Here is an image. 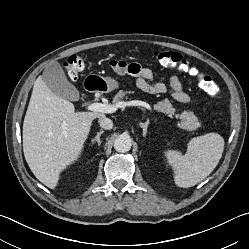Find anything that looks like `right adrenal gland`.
<instances>
[{
  "label": "right adrenal gland",
  "mask_w": 249,
  "mask_h": 249,
  "mask_svg": "<svg viewBox=\"0 0 249 249\" xmlns=\"http://www.w3.org/2000/svg\"><path fill=\"white\" fill-rule=\"evenodd\" d=\"M103 133H104V131L98 132L97 135L92 139V144H93L94 142H97V143H98V146H100V144H101L100 137H101V135H102Z\"/></svg>",
  "instance_id": "2a0ac1e0"
}]
</instances>
